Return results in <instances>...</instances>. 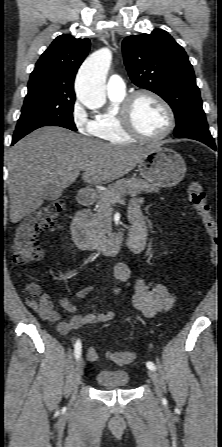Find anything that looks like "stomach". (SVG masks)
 <instances>
[{
    "label": "stomach",
    "instance_id": "stomach-1",
    "mask_svg": "<svg viewBox=\"0 0 222 447\" xmlns=\"http://www.w3.org/2000/svg\"><path fill=\"white\" fill-rule=\"evenodd\" d=\"M138 171L145 180L155 186L172 187L184 178L186 164L174 150L155 146L139 163Z\"/></svg>",
    "mask_w": 222,
    "mask_h": 447
}]
</instances>
